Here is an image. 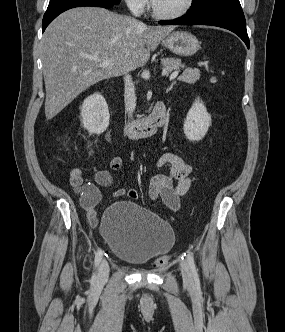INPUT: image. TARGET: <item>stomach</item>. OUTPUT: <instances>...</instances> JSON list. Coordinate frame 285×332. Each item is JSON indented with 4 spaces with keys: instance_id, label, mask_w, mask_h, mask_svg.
<instances>
[{
    "instance_id": "1",
    "label": "stomach",
    "mask_w": 285,
    "mask_h": 332,
    "mask_svg": "<svg viewBox=\"0 0 285 332\" xmlns=\"http://www.w3.org/2000/svg\"><path fill=\"white\" fill-rule=\"evenodd\" d=\"M162 43L170 51L183 57L194 55L200 47L198 39L191 33L184 31L167 35Z\"/></svg>"
}]
</instances>
